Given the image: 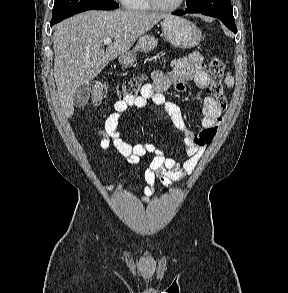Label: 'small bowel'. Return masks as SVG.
I'll use <instances>...</instances> for the list:
<instances>
[{"label": "small bowel", "mask_w": 288, "mask_h": 293, "mask_svg": "<svg viewBox=\"0 0 288 293\" xmlns=\"http://www.w3.org/2000/svg\"><path fill=\"white\" fill-rule=\"evenodd\" d=\"M202 60V55L198 52H193L183 58L171 59V69L168 73L159 69L154 70L151 74L153 80L151 84L144 85L139 95L127 96L125 99L116 101L114 112L103 118V128L99 131L101 149L114 148L130 164H138L147 154L153 156L149 167L144 172L147 184L143 191L145 199L154 194L156 180L171 189L174 187V181L192 173L206 147L217 134L218 126L222 120V108L216 99L209 96L204 99L202 128L195 132L187 128L179 107L173 102L167 101L164 96L170 87H174L178 92H184L186 84L189 82H193L201 89H206L210 81ZM149 101L161 106L168 115L173 128L183 133L184 149L188 157L183 164L165 156L154 143L130 144L118 130L123 113L132 107L142 109ZM115 188L116 185L109 187L110 190Z\"/></svg>", "instance_id": "c3829d8e"}]
</instances>
